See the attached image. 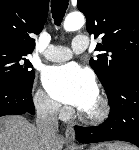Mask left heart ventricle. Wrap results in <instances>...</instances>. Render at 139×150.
<instances>
[{
  "label": "left heart ventricle",
  "instance_id": "left-heart-ventricle-1",
  "mask_svg": "<svg viewBox=\"0 0 139 150\" xmlns=\"http://www.w3.org/2000/svg\"><path fill=\"white\" fill-rule=\"evenodd\" d=\"M98 109V100L96 99L82 111L85 113H94Z\"/></svg>",
  "mask_w": 139,
  "mask_h": 150
}]
</instances>
